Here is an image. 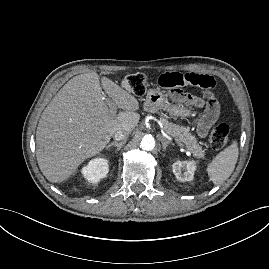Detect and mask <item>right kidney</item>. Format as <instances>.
<instances>
[{"mask_svg": "<svg viewBox=\"0 0 269 269\" xmlns=\"http://www.w3.org/2000/svg\"><path fill=\"white\" fill-rule=\"evenodd\" d=\"M108 160L105 158L92 159L82 169L84 178L90 183H97L108 173Z\"/></svg>", "mask_w": 269, "mask_h": 269, "instance_id": "ca27d5eb", "label": "right kidney"}]
</instances>
